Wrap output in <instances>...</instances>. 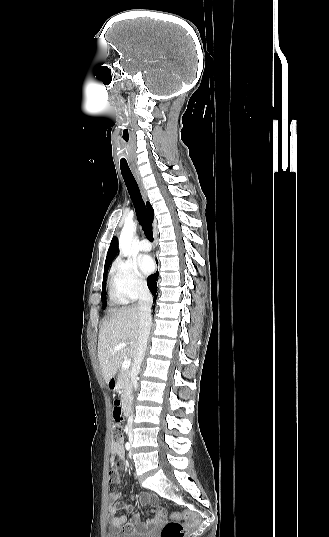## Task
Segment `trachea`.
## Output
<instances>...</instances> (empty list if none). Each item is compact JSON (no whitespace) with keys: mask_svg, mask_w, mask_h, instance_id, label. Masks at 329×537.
I'll return each instance as SVG.
<instances>
[{"mask_svg":"<svg viewBox=\"0 0 329 537\" xmlns=\"http://www.w3.org/2000/svg\"><path fill=\"white\" fill-rule=\"evenodd\" d=\"M120 168H121V173H122L124 182L126 184V187L128 189L130 198L134 204L138 221L140 222L142 226V230L144 231L145 235L152 241L153 240L152 224L150 222V218H149L145 203L142 199L138 184L127 164L121 163Z\"/></svg>","mask_w":329,"mask_h":537,"instance_id":"obj_1","label":"trachea"}]
</instances>
